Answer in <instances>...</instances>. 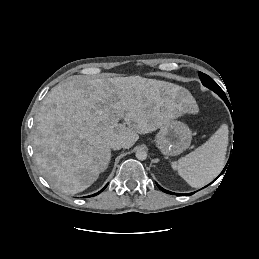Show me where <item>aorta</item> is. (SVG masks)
<instances>
[{
  "label": "aorta",
  "mask_w": 259,
  "mask_h": 259,
  "mask_svg": "<svg viewBox=\"0 0 259 259\" xmlns=\"http://www.w3.org/2000/svg\"><path fill=\"white\" fill-rule=\"evenodd\" d=\"M136 158L138 160H145L147 158V152L145 150L139 149L136 151Z\"/></svg>",
  "instance_id": "762f6f07"
}]
</instances>
